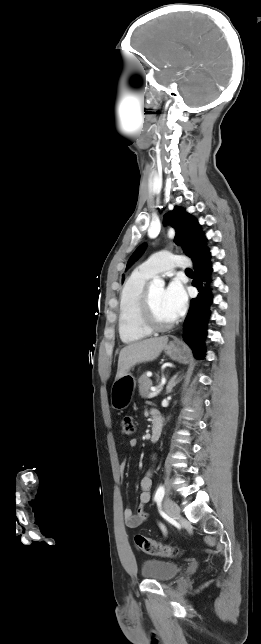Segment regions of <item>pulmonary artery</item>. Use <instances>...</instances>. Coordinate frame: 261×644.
Instances as JSON below:
<instances>
[{
    "label": "pulmonary artery",
    "instance_id": "obj_1",
    "mask_svg": "<svg viewBox=\"0 0 261 644\" xmlns=\"http://www.w3.org/2000/svg\"><path fill=\"white\" fill-rule=\"evenodd\" d=\"M189 266L190 261L185 256L176 255L169 252H159L142 263L138 267V270H140L144 274L153 276L158 273L170 271L174 268L185 269Z\"/></svg>",
    "mask_w": 261,
    "mask_h": 644
}]
</instances>
